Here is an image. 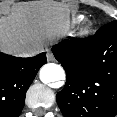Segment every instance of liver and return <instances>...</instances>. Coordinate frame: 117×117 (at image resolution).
<instances>
[{"label": "liver", "instance_id": "obj_1", "mask_svg": "<svg viewBox=\"0 0 117 117\" xmlns=\"http://www.w3.org/2000/svg\"><path fill=\"white\" fill-rule=\"evenodd\" d=\"M68 27V9L60 3L34 1L6 7L0 15V49L19 55L65 34Z\"/></svg>", "mask_w": 117, "mask_h": 117}]
</instances>
